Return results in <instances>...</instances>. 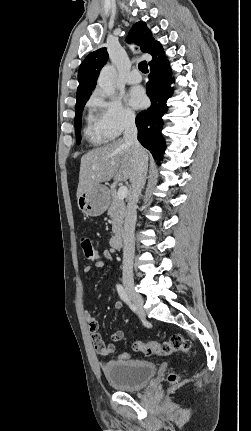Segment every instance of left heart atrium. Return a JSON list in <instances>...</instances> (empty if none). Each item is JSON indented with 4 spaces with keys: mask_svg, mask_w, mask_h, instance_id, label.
I'll return each instance as SVG.
<instances>
[{
    "mask_svg": "<svg viewBox=\"0 0 251 431\" xmlns=\"http://www.w3.org/2000/svg\"><path fill=\"white\" fill-rule=\"evenodd\" d=\"M127 100L128 103L136 109L144 107L147 102L144 91L140 88H133L132 90H130Z\"/></svg>",
    "mask_w": 251,
    "mask_h": 431,
    "instance_id": "obj_1",
    "label": "left heart atrium"
}]
</instances>
